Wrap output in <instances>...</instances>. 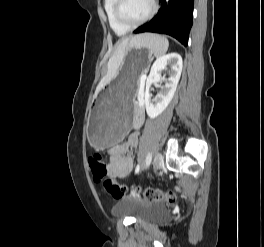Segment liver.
<instances>
[{
	"instance_id": "1",
	"label": "liver",
	"mask_w": 264,
	"mask_h": 247,
	"mask_svg": "<svg viewBox=\"0 0 264 247\" xmlns=\"http://www.w3.org/2000/svg\"><path fill=\"white\" fill-rule=\"evenodd\" d=\"M141 36L142 35H138V36L131 37V38H126L117 45V48L114 54L109 59V62L107 65V68H108L107 74L105 77L101 79L100 83L98 84L94 96H97V94L101 91V89H103L117 75L118 69L123 62V59L125 57V52H126V49L129 43L135 42Z\"/></svg>"
}]
</instances>
